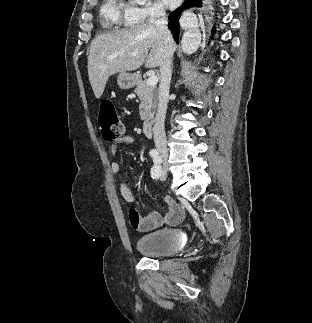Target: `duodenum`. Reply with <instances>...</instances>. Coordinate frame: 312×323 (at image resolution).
Instances as JSON below:
<instances>
[{
    "instance_id": "obj_1",
    "label": "duodenum",
    "mask_w": 312,
    "mask_h": 323,
    "mask_svg": "<svg viewBox=\"0 0 312 323\" xmlns=\"http://www.w3.org/2000/svg\"><path fill=\"white\" fill-rule=\"evenodd\" d=\"M138 77H135V80H137ZM153 126H154V117L153 116H147L144 120H143V131L144 134L147 137H151L153 134Z\"/></svg>"
}]
</instances>
